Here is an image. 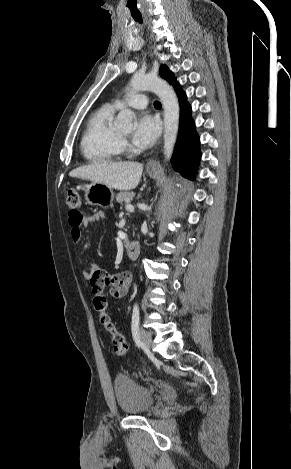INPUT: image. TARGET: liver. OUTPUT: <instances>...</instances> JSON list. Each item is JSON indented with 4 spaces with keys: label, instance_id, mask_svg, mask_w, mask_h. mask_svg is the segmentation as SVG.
<instances>
[{
    "label": "liver",
    "instance_id": "6515ba94",
    "mask_svg": "<svg viewBox=\"0 0 291 469\" xmlns=\"http://www.w3.org/2000/svg\"><path fill=\"white\" fill-rule=\"evenodd\" d=\"M143 172L138 162H97L72 170L70 177L100 182L117 190H131L137 187Z\"/></svg>",
    "mask_w": 291,
    "mask_h": 469
}]
</instances>
